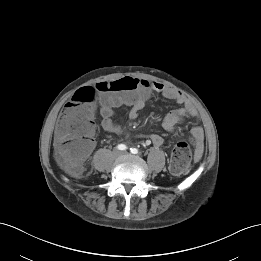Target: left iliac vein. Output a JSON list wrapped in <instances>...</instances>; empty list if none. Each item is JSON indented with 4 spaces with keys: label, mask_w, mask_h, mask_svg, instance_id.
<instances>
[{
    "label": "left iliac vein",
    "mask_w": 261,
    "mask_h": 261,
    "mask_svg": "<svg viewBox=\"0 0 261 261\" xmlns=\"http://www.w3.org/2000/svg\"><path fill=\"white\" fill-rule=\"evenodd\" d=\"M123 155L127 154L126 152H122Z\"/></svg>",
    "instance_id": "obj_1"
}]
</instances>
